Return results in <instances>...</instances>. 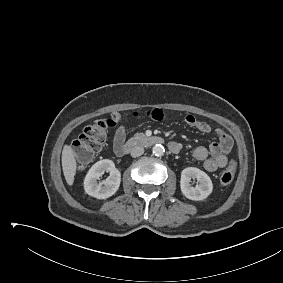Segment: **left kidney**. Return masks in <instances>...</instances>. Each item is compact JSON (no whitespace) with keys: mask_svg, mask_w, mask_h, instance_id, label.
Wrapping results in <instances>:
<instances>
[{"mask_svg":"<svg viewBox=\"0 0 283 283\" xmlns=\"http://www.w3.org/2000/svg\"><path fill=\"white\" fill-rule=\"evenodd\" d=\"M197 179V185L191 186V179ZM180 188L183 195L193 201L206 199L213 190L210 177L202 170L195 167H187L181 172Z\"/></svg>","mask_w":283,"mask_h":283,"instance_id":"1","label":"left kidney"}]
</instances>
